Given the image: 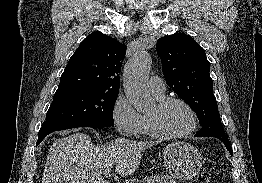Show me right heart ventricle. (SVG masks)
<instances>
[{
	"mask_svg": "<svg viewBox=\"0 0 262 183\" xmlns=\"http://www.w3.org/2000/svg\"><path fill=\"white\" fill-rule=\"evenodd\" d=\"M158 100L163 99V97H156ZM140 133L143 135H147L150 134L149 129H148V124H147V118L146 116H142V126H141V130Z\"/></svg>",
	"mask_w": 262,
	"mask_h": 183,
	"instance_id": "right-heart-ventricle-1",
	"label": "right heart ventricle"
}]
</instances>
